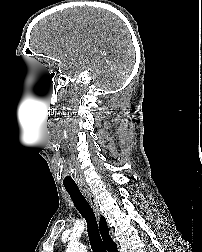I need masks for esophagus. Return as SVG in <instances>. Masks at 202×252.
Wrapping results in <instances>:
<instances>
[{"instance_id":"34e87169","label":"esophagus","mask_w":202,"mask_h":252,"mask_svg":"<svg viewBox=\"0 0 202 252\" xmlns=\"http://www.w3.org/2000/svg\"><path fill=\"white\" fill-rule=\"evenodd\" d=\"M80 190H81L82 194L84 195V197L89 202V204L92 207L95 215L99 217L100 213H99V209H98V204H97L94 196L92 195L90 189L88 187H81Z\"/></svg>"}]
</instances>
